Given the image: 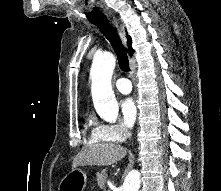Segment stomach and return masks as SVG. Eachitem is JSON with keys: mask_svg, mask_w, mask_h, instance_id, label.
<instances>
[{"mask_svg": "<svg viewBox=\"0 0 221 191\" xmlns=\"http://www.w3.org/2000/svg\"><path fill=\"white\" fill-rule=\"evenodd\" d=\"M86 184V172L79 168H74L61 180L58 191H83Z\"/></svg>", "mask_w": 221, "mask_h": 191, "instance_id": "stomach-1", "label": "stomach"}]
</instances>
